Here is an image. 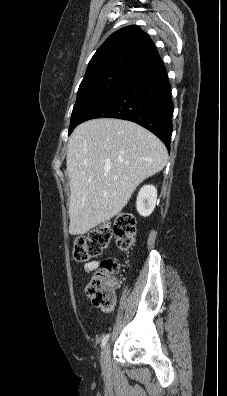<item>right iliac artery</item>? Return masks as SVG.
I'll return each instance as SVG.
<instances>
[{
	"instance_id": "1",
	"label": "right iliac artery",
	"mask_w": 227,
	"mask_h": 396,
	"mask_svg": "<svg viewBox=\"0 0 227 396\" xmlns=\"http://www.w3.org/2000/svg\"><path fill=\"white\" fill-rule=\"evenodd\" d=\"M109 339V334H107L106 336L103 337L102 342H101V347L104 348L107 341Z\"/></svg>"
}]
</instances>
